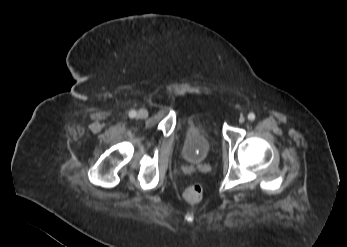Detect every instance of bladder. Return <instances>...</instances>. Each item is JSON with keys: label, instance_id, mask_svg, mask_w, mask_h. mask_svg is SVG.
<instances>
[{"label": "bladder", "instance_id": "obj_1", "mask_svg": "<svg viewBox=\"0 0 347 247\" xmlns=\"http://www.w3.org/2000/svg\"><path fill=\"white\" fill-rule=\"evenodd\" d=\"M182 155L192 164L203 163L216 144L217 122L213 115L200 111L183 117Z\"/></svg>", "mask_w": 347, "mask_h": 247}]
</instances>
